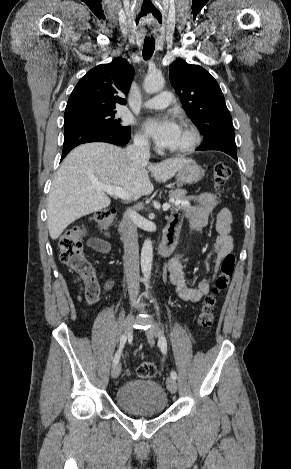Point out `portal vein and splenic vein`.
Listing matches in <instances>:
<instances>
[{"label":"portal vein and splenic vein","mask_w":291,"mask_h":469,"mask_svg":"<svg viewBox=\"0 0 291 469\" xmlns=\"http://www.w3.org/2000/svg\"><path fill=\"white\" fill-rule=\"evenodd\" d=\"M94 187L97 190L105 191L107 194H109L111 196H116V197L124 199V200L129 198L128 193L122 187L99 184V183H94ZM173 201L174 200H172V202ZM162 208H163L164 211H167L170 208V203L163 204Z\"/></svg>","instance_id":"obj_1"}]
</instances>
